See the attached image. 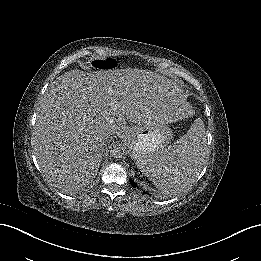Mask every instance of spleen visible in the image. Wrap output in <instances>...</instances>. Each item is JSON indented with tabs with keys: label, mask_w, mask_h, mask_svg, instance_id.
<instances>
[{
	"label": "spleen",
	"mask_w": 261,
	"mask_h": 261,
	"mask_svg": "<svg viewBox=\"0 0 261 261\" xmlns=\"http://www.w3.org/2000/svg\"><path fill=\"white\" fill-rule=\"evenodd\" d=\"M201 162L200 134L190 129L177 144L137 161L162 193L177 192Z\"/></svg>",
	"instance_id": "obj_1"
}]
</instances>
